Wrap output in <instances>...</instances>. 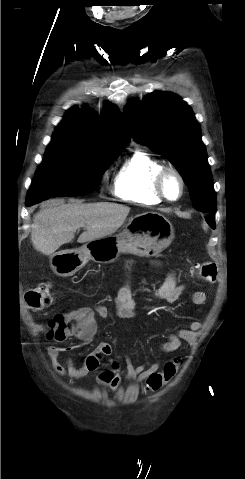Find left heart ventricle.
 Wrapping results in <instances>:
<instances>
[{"instance_id": "left-heart-ventricle-1", "label": "left heart ventricle", "mask_w": 245, "mask_h": 479, "mask_svg": "<svg viewBox=\"0 0 245 479\" xmlns=\"http://www.w3.org/2000/svg\"><path fill=\"white\" fill-rule=\"evenodd\" d=\"M180 192V185L175 177H169L166 182V193L168 197L174 199Z\"/></svg>"}]
</instances>
